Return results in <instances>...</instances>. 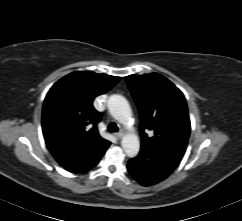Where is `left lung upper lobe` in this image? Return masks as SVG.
Masks as SVG:
<instances>
[{"label":"left lung upper lobe","instance_id":"obj_1","mask_svg":"<svg viewBox=\"0 0 242 221\" xmlns=\"http://www.w3.org/2000/svg\"><path fill=\"white\" fill-rule=\"evenodd\" d=\"M126 82L140 114L141 148L179 164L191 129L183 93L158 73L130 75Z\"/></svg>","mask_w":242,"mask_h":221}]
</instances>
